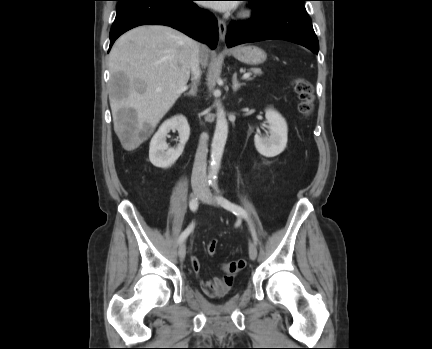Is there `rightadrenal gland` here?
Segmentation results:
<instances>
[{"mask_svg":"<svg viewBox=\"0 0 432 349\" xmlns=\"http://www.w3.org/2000/svg\"><path fill=\"white\" fill-rule=\"evenodd\" d=\"M197 94V85H192L191 89L188 92H185L184 95L195 97Z\"/></svg>","mask_w":432,"mask_h":349,"instance_id":"obj_1","label":"right adrenal gland"}]
</instances>
